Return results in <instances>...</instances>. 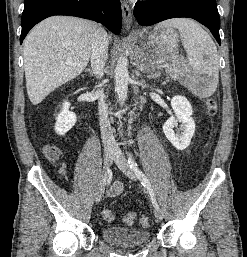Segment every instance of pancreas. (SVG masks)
Here are the masks:
<instances>
[{
    "label": "pancreas",
    "mask_w": 247,
    "mask_h": 257,
    "mask_svg": "<svg viewBox=\"0 0 247 257\" xmlns=\"http://www.w3.org/2000/svg\"><path fill=\"white\" fill-rule=\"evenodd\" d=\"M166 71L169 73L171 70L169 68H166Z\"/></svg>",
    "instance_id": "pancreas-1"
}]
</instances>
